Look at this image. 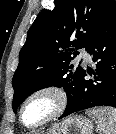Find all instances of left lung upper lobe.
Returning <instances> with one entry per match:
<instances>
[{"label": "left lung upper lobe", "mask_w": 116, "mask_h": 134, "mask_svg": "<svg viewBox=\"0 0 116 134\" xmlns=\"http://www.w3.org/2000/svg\"><path fill=\"white\" fill-rule=\"evenodd\" d=\"M115 4L113 0H54V8L37 15L12 80L14 112L29 95L46 87H63L68 101L73 99L84 69L71 61L78 49H87Z\"/></svg>", "instance_id": "5c2ea615"}]
</instances>
